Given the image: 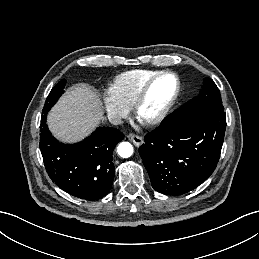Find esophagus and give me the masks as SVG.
<instances>
[{"instance_id":"esophagus-1","label":"esophagus","mask_w":259,"mask_h":259,"mask_svg":"<svg viewBox=\"0 0 259 259\" xmlns=\"http://www.w3.org/2000/svg\"><path fill=\"white\" fill-rule=\"evenodd\" d=\"M127 138H128L131 142H133L136 147L141 146L142 143H143V138L140 137V136H138V135H136V134H133V133L127 135Z\"/></svg>"}]
</instances>
